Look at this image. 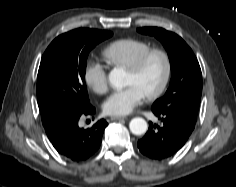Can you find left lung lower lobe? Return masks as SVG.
<instances>
[{"label": "left lung lower lobe", "mask_w": 236, "mask_h": 187, "mask_svg": "<svg viewBox=\"0 0 236 187\" xmlns=\"http://www.w3.org/2000/svg\"><path fill=\"white\" fill-rule=\"evenodd\" d=\"M152 111L161 119L163 126H153L150 122L147 133L138 141V148L145 156L161 160L170 157L185 144L196 121L173 112Z\"/></svg>", "instance_id": "left-lung-lower-lobe-1"}]
</instances>
